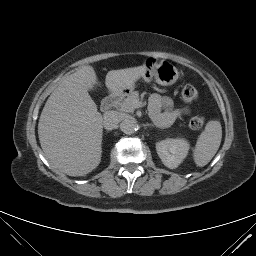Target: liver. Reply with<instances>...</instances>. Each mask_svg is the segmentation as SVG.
<instances>
[{"label": "liver", "instance_id": "6515ba94", "mask_svg": "<svg viewBox=\"0 0 256 256\" xmlns=\"http://www.w3.org/2000/svg\"><path fill=\"white\" fill-rule=\"evenodd\" d=\"M145 67L109 71L105 84L113 97L136 82ZM97 81L92 66L67 75L48 98L38 123L41 147L54 168L69 176H82L101 161L103 118L88 90Z\"/></svg>", "mask_w": 256, "mask_h": 256}]
</instances>
